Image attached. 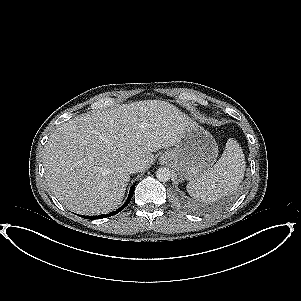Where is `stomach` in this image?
<instances>
[{
    "label": "stomach",
    "mask_w": 301,
    "mask_h": 301,
    "mask_svg": "<svg viewBox=\"0 0 301 301\" xmlns=\"http://www.w3.org/2000/svg\"><path fill=\"white\" fill-rule=\"evenodd\" d=\"M218 146L213 136L194 121L185 125L183 136L175 147L161 155L168 157L181 176L195 180L203 176L215 163Z\"/></svg>",
    "instance_id": "0dacf381"
}]
</instances>
